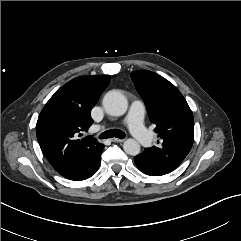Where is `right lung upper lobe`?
Instances as JSON below:
<instances>
[{
    "label": "right lung upper lobe",
    "mask_w": 241,
    "mask_h": 241,
    "mask_svg": "<svg viewBox=\"0 0 241 241\" xmlns=\"http://www.w3.org/2000/svg\"><path fill=\"white\" fill-rule=\"evenodd\" d=\"M109 82V75L75 78L57 90L41 111L37 139L60 175L93 159L104 147L92 137H79L92 125L91 109Z\"/></svg>",
    "instance_id": "cb5924a9"
}]
</instances>
